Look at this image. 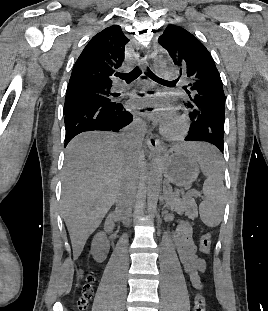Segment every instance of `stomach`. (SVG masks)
<instances>
[{"instance_id": "obj_1", "label": "stomach", "mask_w": 268, "mask_h": 311, "mask_svg": "<svg viewBox=\"0 0 268 311\" xmlns=\"http://www.w3.org/2000/svg\"><path fill=\"white\" fill-rule=\"evenodd\" d=\"M159 164L167 181L178 187L189 186L199 175V167L188 145L173 148L160 157Z\"/></svg>"}]
</instances>
